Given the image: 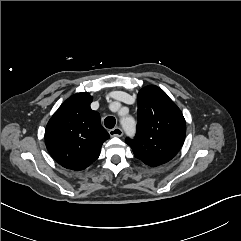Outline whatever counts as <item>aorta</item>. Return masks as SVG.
Listing matches in <instances>:
<instances>
[{
	"label": "aorta",
	"instance_id": "aorta-1",
	"mask_svg": "<svg viewBox=\"0 0 241 241\" xmlns=\"http://www.w3.org/2000/svg\"><path fill=\"white\" fill-rule=\"evenodd\" d=\"M121 126L127 135L131 136L135 133V120L132 117H123L121 119Z\"/></svg>",
	"mask_w": 241,
	"mask_h": 241
}]
</instances>
